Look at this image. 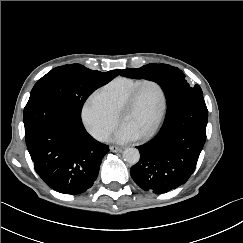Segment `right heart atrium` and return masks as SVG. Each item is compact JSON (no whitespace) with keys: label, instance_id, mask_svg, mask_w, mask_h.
Segmentation results:
<instances>
[{"label":"right heart atrium","instance_id":"obj_1","mask_svg":"<svg viewBox=\"0 0 243 243\" xmlns=\"http://www.w3.org/2000/svg\"><path fill=\"white\" fill-rule=\"evenodd\" d=\"M81 117L89 133L101 141L109 137L118 122L117 115L96 92L85 101Z\"/></svg>","mask_w":243,"mask_h":243}]
</instances>
